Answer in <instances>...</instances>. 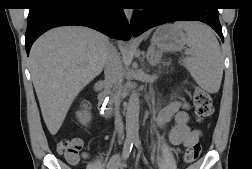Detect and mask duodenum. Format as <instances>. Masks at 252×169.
Here are the masks:
<instances>
[{"mask_svg":"<svg viewBox=\"0 0 252 169\" xmlns=\"http://www.w3.org/2000/svg\"><path fill=\"white\" fill-rule=\"evenodd\" d=\"M95 89L99 93L98 98H99L100 107L104 109V115L108 116L109 112L107 111V108L110 105V100L108 98L107 92L104 89L103 83L102 82L97 83L95 86Z\"/></svg>","mask_w":252,"mask_h":169,"instance_id":"duodenum-1","label":"duodenum"}]
</instances>
